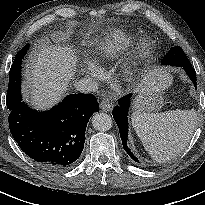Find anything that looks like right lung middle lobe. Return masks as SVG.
Instances as JSON below:
<instances>
[{"instance_id": "right-lung-middle-lobe-1", "label": "right lung middle lobe", "mask_w": 205, "mask_h": 205, "mask_svg": "<svg viewBox=\"0 0 205 205\" xmlns=\"http://www.w3.org/2000/svg\"><path fill=\"white\" fill-rule=\"evenodd\" d=\"M29 48L27 44L22 48L16 55L14 63L11 66L9 74V85L6 96L7 108L11 111L14 109L22 100L21 98V64L25 53Z\"/></svg>"}]
</instances>
